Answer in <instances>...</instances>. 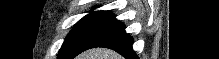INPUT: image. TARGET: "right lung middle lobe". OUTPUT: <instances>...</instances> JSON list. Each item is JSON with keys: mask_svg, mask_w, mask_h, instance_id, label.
Returning a JSON list of instances; mask_svg holds the SVG:
<instances>
[{"mask_svg": "<svg viewBox=\"0 0 219 59\" xmlns=\"http://www.w3.org/2000/svg\"><path fill=\"white\" fill-rule=\"evenodd\" d=\"M122 25L110 12L91 13L83 17L68 34L57 59H73L108 33Z\"/></svg>", "mask_w": 219, "mask_h": 59, "instance_id": "obj_1", "label": "right lung middle lobe"}]
</instances>
